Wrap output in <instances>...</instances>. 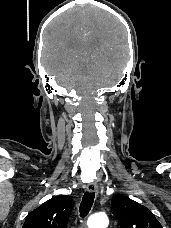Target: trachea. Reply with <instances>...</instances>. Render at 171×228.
<instances>
[{
	"mask_svg": "<svg viewBox=\"0 0 171 228\" xmlns=\"http://www.w3.org/2000/svg\"><path fill=\"white\" fill-rule=\"evenodd\" d=\"M94 198H95V193L86 192L83 195L82 202H81L80 208H79L80 216L82 218L86 217L88 215V213L90 212L91 207L94 202Z\"/></svg>",
	"mask_w": 171,
	"mask_h": 228,
	"instance_id": "1",
	"label": "trachea"
}]
</instances>
